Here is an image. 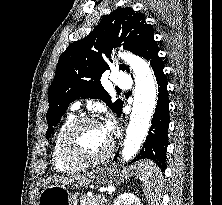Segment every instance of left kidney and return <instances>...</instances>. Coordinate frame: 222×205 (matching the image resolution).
I'll return each instance as SVG.
<instances>
[{"instance_id":"left-kidney-1","label":"left kidney","mask_w":222,"mask_h":205,"mask_svg":"<svg viewBox=\"0 0 222 205\" xmlns=\"http://www.w3.org/2000/svg\"><path fill=\"white\" fill-rule=\"evenodd\" d=\"M113 205H142L139 198L132 193H124L117 197Z\"/></svg>"}]
</instances>
